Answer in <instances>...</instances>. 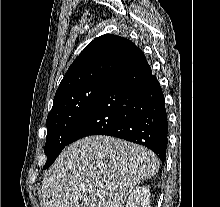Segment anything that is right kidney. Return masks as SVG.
I'll list each match as a JSON object with an SVG mask.
<instances>
[{"label":"right kidney","mask_w":220,"mask_h":207,"mask_svg":"<svg viewBox=\"0 0 220 207\" xmlns=\"http://www.w3.org/2000/svg\"><path fill=\"white\" fill-rule=\"evenodd\" d=\"M150 190L146 186L136 187L130 196L126 207H150Z\"/></svg>","instance_id":"1"}]
</instances>
